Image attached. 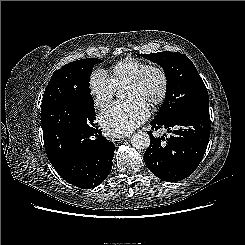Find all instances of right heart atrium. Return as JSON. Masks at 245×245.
<instances>
[{"mask_svg": "<svg viewBox=\"0 0 245 245\" xmlns=\"http://www.w3.org/2000/svg\"><path fill=\"white\" fill-rule=\"evenodd\" d=\"M89 94L96 108L107 106L116 91L115 86L103 70H94L88 80Z\"/></svg>", "mask_w": 245, "mask_h": 245, "instance_id": "obj_1", "label": "right heart atrium"}]
</instances>
